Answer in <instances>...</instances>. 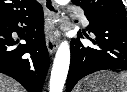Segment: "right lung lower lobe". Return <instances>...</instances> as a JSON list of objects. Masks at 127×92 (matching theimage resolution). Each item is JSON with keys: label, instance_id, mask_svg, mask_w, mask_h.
I'll return each instance as SVG.
<instances>
[{"label": "right lung lower lobe", "instance_id": "1", "mask_svg": "<svg viewBox=\"0 0 127 92\" xmlns=\"http://www.w3.org/2000/svg\"><path fill=\"white\" fill-rule=\"evenodd\" d=\"M43 23L40 4L27 14L0 23V72L16 79L28 92H41L49 68ZM12 32L26 44L18 45Z\"/></svg>", "mask_w": 127, "mask_h": 92}]
</instances>
